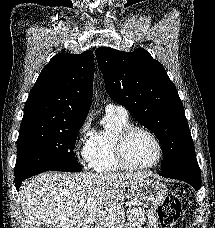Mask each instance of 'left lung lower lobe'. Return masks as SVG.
<instances>
[{
	"mask_svg": "<svg viewBox=\"0 0 215 228\" xmlns=\"http://www.w3.org/2000/svg\"><path fill=\"white\" fill-rule=\"evenodd\" d=\"M159 175L185 181L193 186L196 191L201 187L200 169L196 158L187 160L169 170L161 172Z\"/></svg>",
	"mask_w": 215,
	"mask_h": 228,
	"instance_id": "obj_1",
	"label": "left lung lower lobe"
}]
</instances>
